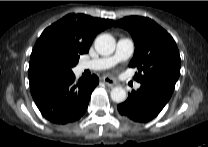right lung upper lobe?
<instances>
[{
    "mask_svg": "<svg viewBox=\"0 0 208 147\" xmlns=\"http://www.w3.org/2000/svg\"><path fill=\"white\" fill-rule=\"evenodd\" d=\"M113 24L109 19L69 14L46 28L31 53L30 85L64 76L65 62L87 53L96 34Z\"/></svg>",
    "mask_w": 208,
    "mask_h": 147,
    "instance_id": "obj_1",
    "label": "right lung upper lobe"
}]
</instances>
